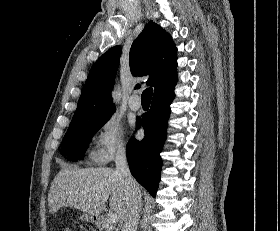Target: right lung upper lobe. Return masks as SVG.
I'll use <instances>...</instances> for the list:
<instances>
[{
    "mask_svg": "<svg viewBox=\"0 0 280 231\" xmlns=\"http://www.w3.org/2000/svg\"><path fill=\"white\" fill-rule=\"evenodd\" d=\"M121 51L120 46L112 47L93 64L70 124L112 115L111 90ZM176 52L170 34L152 21L133 42L129 55L131 72L134 76L150 75L147 85L154 87L153 97L174 89L177 82ZM137 88H140L139 84L135 86Z\"/></svg>",
    "mask_w": 280,
    "mask_h": 231,
    "instance_id": "obj_1",
    "label": "right lung upper lobe"
}]
</instances>
